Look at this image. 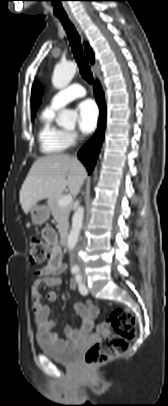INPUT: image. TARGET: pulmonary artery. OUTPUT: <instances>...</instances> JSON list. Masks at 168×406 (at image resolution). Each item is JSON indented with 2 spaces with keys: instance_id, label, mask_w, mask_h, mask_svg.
Returning a JSON list of instances; mask_svg holds the SVG:
<instances>
[{
  "instance_id": "pulmonary-artery-1",
  "label": "pulmonary artery",
  "mask_w": 168,
  "mask_h": 406,
  "mask_svg": "<svg viewBox=\"0 0 168 406\" xmlns=\"http://www.w3.org/2000/svg\"><path fill=\"white\" fill-rule=\"evenodd\" d=\"M85 95L86 91L84 87L78 83H73L55 93L50 100V106L58 109L63 107L70 101L76 98L84 97Z\"/></svg>"
}]
</instances>
